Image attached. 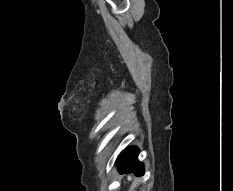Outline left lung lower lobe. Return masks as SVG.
I'll return each instance as SVG.
<instances>
[{
	"label": "left lung lower lobe",
	"instance_id": "1",
	"mask_svg": "<svg viewBox=\"0 0 233 191\" xmlns=\"http://www.w3.org/2000/svg\"><path fill=\"white\" fill-rule=\"evenodd\" d=\"M139 150L136 147H128L117 158L120 173L134 172L137 176L144 174L143 165L137 161ZM121 158V162L119 161Z\"/></svg>",
	"mask_w": 233,
	"mask_h": 191
}]
</instances>
